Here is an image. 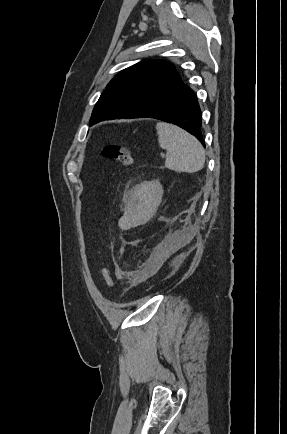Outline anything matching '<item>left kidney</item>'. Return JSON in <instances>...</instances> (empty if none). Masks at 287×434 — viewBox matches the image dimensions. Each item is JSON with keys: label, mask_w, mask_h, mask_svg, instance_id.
<instances>
[{"label": "left kidney", "mask_w": 287, "mask_h": 434, "mask_svg": "<svg viewBox=\"0 0 287 434\" xmlns=\"http://www.w3.org/2000/svg\"><path fill=\"white\" fill-rule=\"evenodd\" d=\"M163 196V189L158 181L142 182L127 195L129 217L149 219L156 211Z\"/></svg>", "instance_id": "5707ae66"}]
</instances>
